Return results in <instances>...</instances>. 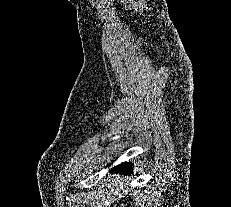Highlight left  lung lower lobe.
Returning a JSON list of instances; mask_svg holds the SVG:
<instances>
[{"label": "left lung lower lobe", "mask_w": 231, "mask_h": 207, "mask_svg": "<svg viewBox=\"0 0 231 207\" xmlns=\"http://www.w3.org/2000/svg\"><path fill=\"white\" fill-rule=\"evenodd\" d=\"M131 163H125L122 165H118L112 169V171L115 172H121V173H129L131 171Z\"/></svg>", "instance_id": "1"}]
</instances>
